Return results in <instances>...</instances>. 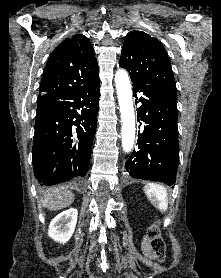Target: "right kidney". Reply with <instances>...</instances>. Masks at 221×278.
I'll list each match as a JSON object with an SVG mask.
<instances>
[{
	"mask_svg": "<svg viewBox=\"0 0 221 278\" xmlns=\"http://www.w3.org/2000/svg\"><path fill=\"white\" fill-rule=\"evenodd\" d=\"M78 211L70 208L58 214L50 223L48 235L57 242L69 241L77 223Z\"/></svg>",
	"mask_w": 221,
	"mask_h": 278,
	"instance_id": "right-kidney-1",
	"label": "right kidney"
}]
</instances>
